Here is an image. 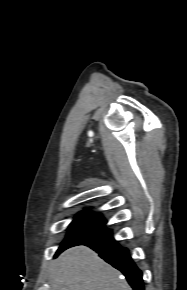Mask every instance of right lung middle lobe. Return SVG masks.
I'll list each match as a JSON object with an SVG mask.
<instances>
[{
    "instance_id": "1",
    "label": "right lung middle lobe",
    "mask_w": 187,
    "mask_h": 290,
    "mask_svg": "<svg viewBox=\"0 0 187 290\" xmlns=\"http://www.w3.org/2000/svg\"><path fill=\"white\" fill-rule=\"evenodd\" d=\"M105 224L106 221L99 214L86 210L80 212L70 224L67 237L56 255L69 247L111 235V230L106 229Z\"/></svg>"
}]
</instances>
